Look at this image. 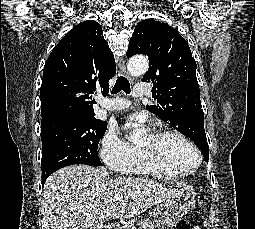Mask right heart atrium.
<instances>
[{"label": "right heart atrium", "mask_w": 255, "mask_h": 229, "mask_svg": "<svg viewBox=\"0 0 255 229\" xmlns=\"http://www.w3.org/2000/svg\"><path fill=\"white\" fill-rule=\"evenodd\" d=\"M135 151L136 147L121 138L115 130H109L101 140L100 155L103 162L117 171H123Z\"/></svg>", "instance_id": "1"}]
</instances>
